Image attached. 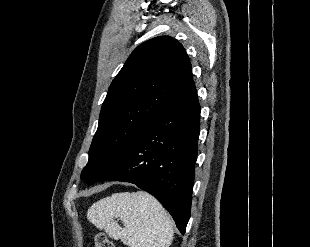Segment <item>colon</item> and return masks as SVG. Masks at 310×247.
I'll list each match as a JSON object with an SVG mask.
<instances>
[{
  "label": "colon",
  "mask_w": 310,
  "mask_h": 247,
  "mask_svg": "<svg viewBox=\"0 0 310 247\" xmlns=\"http://www.w3.org/2000/svg\"><path fill=\"white\" fill-rule=\"evenodd\" d=\"M94 247H116V246L104 233H97L94 237Z\"/></svg>",
  "instance_id": "1"
}]
</instances>
